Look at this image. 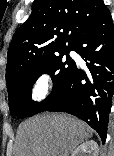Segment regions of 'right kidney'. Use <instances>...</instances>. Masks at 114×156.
Returning a JSON list of instances; mask_svg holds the SVG:
<instances>
[{
  "instance_id": "obj_1",
  "label": "right kidney",
  "mask_w": 114,
  "mask_h": 156,
  "mask_svg": "<svg viewBox=\"0 0 114 156\" xmlns=\"http://www.w3.org/2000/svg\"><path fill=\"white\" fill-rule=\"evenodd\" d=\"M99 146L93 141H86L79 145L71 154V156H98Z\"/></svg>"
}]
</instances>
